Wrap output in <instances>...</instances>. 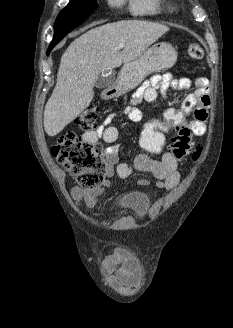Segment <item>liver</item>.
I'll return each instance as SVG.
<instances>
[{"mask_svg":"<svg viewBox=\"0 0 233 328\" xmlns=\"http://www.w3.org/2000/svg\"><path fill=\"white\" fill-rule=\"evenodd\" d=\"M168 31L159 23L123 20L93 28L75 39L62 55L57 83L44 109L47 135L60 133L89 106L103 69L139 58ZM121 43L125 46L119 49Z\"/></svg>","mask_w":233,"mask_h":328,"instance_id":"liver-1","label":"liver"}]
</instances>
